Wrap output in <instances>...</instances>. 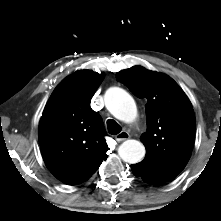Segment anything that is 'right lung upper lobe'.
<instances>
[{
    "label": "right lung upper lobe",
    "mask_w": 221,
    "mask_h": 221,
    "mask_svg": "<svg viewBox=\"0 0 221 221\" xmlns=\"http://www.w3.org/2000/svg\"><path fill=\"white\" fill-rule=\"evenodd\" d=\"M103 74L77 71L65 78L49 98L39 124V143L51 173L68 185L90 178L108 151L101 116L90 101Z\"/></svg>",
    "instance_id": "right-lung-upper-lobe-1"
}]
</instances>
